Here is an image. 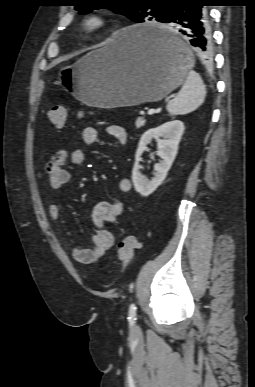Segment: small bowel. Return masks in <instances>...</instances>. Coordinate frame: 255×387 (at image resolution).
Segmentation results:
<instances>
[{
    "mask_svg": "<svg viewBox=\"0 0 255 387\" xmlns=\"http://www.w3.org/2000/svg\"><path fill=\"white\" fill-rule=\"evenodd\" d=\"M106 132L122 145L127 142V132L120 125H109ZM81 137L86 145H92L98 141L99 133L95 127L87 126L83 128ZM68 160L75 165H83L87 162V153L82 148L71 151L60 149L55 152L45 166L51 189L60 190L70 182V173L64 168ZM118 190L121 193L130 192V179L121 178L118 181ZM123 210L124 204L117 198L110 201H101L95 205L91 215L93 225L96 228V233L92 236V246L89 248L73 247L72 256L76 261L91 264L103 257L105 252L114 244V234L108 227L118 225L119 216L123 213ZM48 214L52 220H58L61 214L60 205L52 203L48 208Z\"/></svg>",
    "mask_w": 255,
    "mask_h": 387,
    "instance_id": "1",
    "label": "small bowel"
}]
</instances>
